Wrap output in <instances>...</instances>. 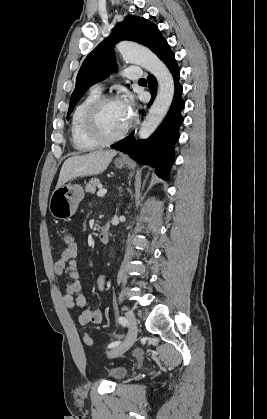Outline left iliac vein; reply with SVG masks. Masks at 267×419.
Listing matches in <instances>:
<instances>
[{
  "label": "left iliac vein",
  "instance_id": "4c4485c4",
  "mask_svg": "<svg viewBox=\"0 0 267 419\" xmlns=\"http://www.w3.org/2000/svg\"><path fill=\"white\" fill-rule=\"evenodd\" d=\"M125 318L129 326L128 336L124 340V342H122L120 345L116 346L115 348H113L112 350L108 352V356L110 358H116L122 355L133 345V343L136 340L137 333H138L136 318L131 311H127L125 313Z\"/></svg>",
  "mask_w": 267,
  "mask_h": 419
}]
</instances>
